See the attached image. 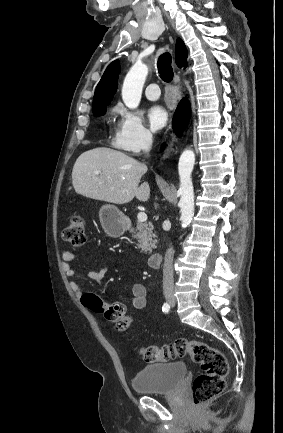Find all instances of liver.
I'll return each mask as SVG.
<instances>
[{"instance_id":"1","label":"liver","mask_w":283,"mask_h":433,"mask_svg":"<svg viewBox=\"0 0 283 433\" xmlns=\"http://www.w3.org/2000/svg\"><path fill=\"white\" fill-rule=\"evenodd\" d=\"M95 170L100 174H95ZM147 170L144 162L125 152L99 146L78 156L72 170V184L75 192L96 200L124 204L136 196L145 202L150 196V186L148 182H139Z\"/></svg>"}]
</instances>
